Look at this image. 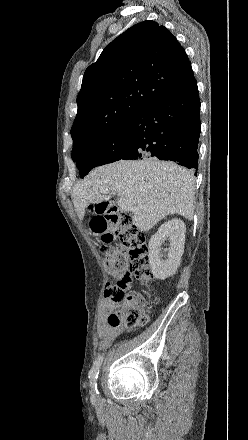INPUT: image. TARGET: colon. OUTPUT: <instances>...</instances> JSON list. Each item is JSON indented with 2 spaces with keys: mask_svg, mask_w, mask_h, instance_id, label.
Returning a JSON list of instances; mask_svg holds the SVG:
<instances>
[{
  "mask_svg": "<svg viewBox=\"0 0 248 440\" xmlns=\"http://www.w3.org/2000/svg\"><path fill=\"white\" fill-rule=\"evenodd\" d=\"M95 218H109L111 229L119 239V244L104 241L102 252L105 255V268L108 273L118 277L104 289L105 302L114 308L122 307V313L111 312L107 316L110 326L116 327L124 318L128 327H141L147 321L146 300L136 292H128L132 276L144 286L153 281L148 248L143 234L132 223L127 213L119 212L116 206H103L101 215Z\"/></svg>",
  "mask_w": 248,
  "mask_h": 440,
  "instance_id": "1",
  "label": "colon"
}]
</instances>
